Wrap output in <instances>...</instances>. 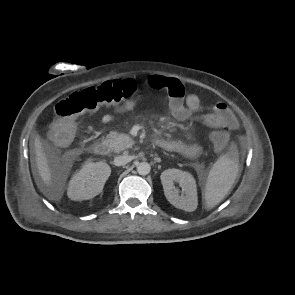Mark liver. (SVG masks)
<instances>
[{
	"label": "liver",
	"instance_id": "6515ba94",
	"mask_svg": "<svg viewBox=\"0 0 295 295\" xmlns=\"http://www.w3.org/2000/svg\"><path fill=\"white\" fill-rule=\"evenodd\" d=\"M34 148H35L36 163H37L39 175L43 183L47 187L53 188V182H52L53 175H52L50 166L48 164L47 157L42 148V143H41L39 135L35 136Z\"/></svg>",
	"mask_w": 295,
	"mask_h": 295
}]
</instances>
